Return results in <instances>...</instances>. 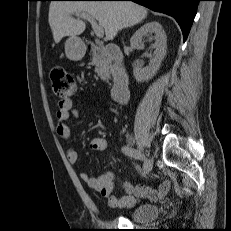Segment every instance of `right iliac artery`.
<instances>
[{"label": "right iliac artery", "mask_w": 231, "mask_h": 231, "mask_svg": "<svg viewBox=\"0 0 231 231\" xmlns=\"http://www.w3.org/2000/svg\"><path fill=\"white\" fill-rule=\"evenodd\" d=\"M122 152L127 156L133 157V158L138 159L140 161H144V166H143V170H142L143 176H147L150 173L151 168H149L145 164V160H146L145 155L140 150H136L130 146H124V147H122Z\"/></svg>", "instance_id": "1"}]
</instances>
